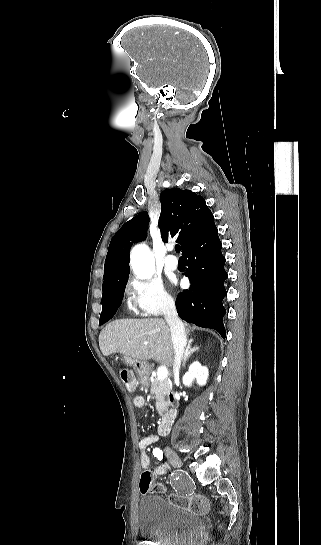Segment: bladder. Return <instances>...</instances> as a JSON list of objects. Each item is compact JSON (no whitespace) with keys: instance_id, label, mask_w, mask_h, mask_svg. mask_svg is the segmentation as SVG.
<instances>
[{"instance_id":"31cf9c89","label":"bladder","mask_w":321,"mask_h":545,"mask_svg":"<svg viewBox=\"0 0 321 545\" xmlns=\"http://www.w3.org/2000/svg\"><path fill=\"white\" fill-rule=\"evenodd\" d=\"M138 528L158 545H191L204 529L199 513L178 506L159 493L144 495L138 504Z\"/></svg>"}]
</instances>
